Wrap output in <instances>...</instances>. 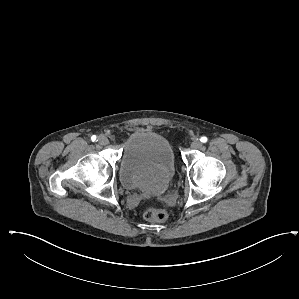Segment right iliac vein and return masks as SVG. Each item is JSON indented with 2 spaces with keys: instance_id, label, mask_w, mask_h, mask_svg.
<instances>
[{
  "instance_id": "right-iliac-vein-1",
  "label": "right iliac vein",
  "mask_w": 299,
  "mask_h": 299,
  "mask_svg": "<svg viewBox=\"0 0 299 299\" xmlns=\"http://www.w3.org/2000/svg\"><path fill=\"white\" fill-rule=\"evenodd\" d=\"M97 141H98V143H99L100 145H107V144L109 143L108 138H107L106 136H104V135H100V136L98 137Z\"/></svg>"
}]
</instances>
